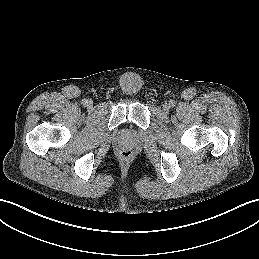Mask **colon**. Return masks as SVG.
Instances as JSON below:
<instances>
[{"label": "colon", "mask_w": 259, "mask_h": 259, "mask_svg": "<svg viewBox=\"0 0 259 259\" xmlns=\"http://www.w3.org/2000/svg\"><path fill=\"white\" fill-rule=\"evenodd\" d=\"M121 156L123 159H129L132 156L131 150L125 149L121 152Z\"/></svg>", "instance_id": "colon-1"}]
</instances>
